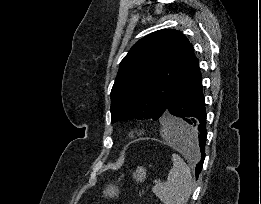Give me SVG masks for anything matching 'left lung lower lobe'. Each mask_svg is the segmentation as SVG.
<instances>
[{
	"mask_svg": "<svg viewBox=\"0 0 261 204\" xmlns=\"http://www.w3.org/2000/svg\"><path fill=\"white\" fill-rule=\"evenodd\" d=\"M170 114L182 119L183 124H174L171 128L174 137L183 142L189 153H195L190 142L199 146L200 161L196 164V177L199 176L205 159L206 144V110L202 88V76L198 59L195 57L172 95L167 109V118Z\"/></svg>",
	"mask_w": 261,
	"mask_h": 204,
	"instance_id": "1",
	"label": "left lung lower lobe"
}]
</instances>
